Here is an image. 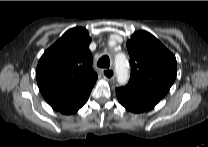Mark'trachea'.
I'll return each instance as SVG.
<instances>
[{
  "label": "trachea",
  "mask_w": 208,
  "mask_h": 147,
  "mask_svg": "<svg viewBox=\"0 0 208 147\" xmlns=\"http://www.w3.org/2000/svg\"><path fill=\"white\" fill-rule=\"evenodd\" d=\"M97 66L100 68H109L110 66V59L107 55L102 56L98 62H97Z\"/></svg>",
  "instance_id": "3493384b"
}]
</instances>
